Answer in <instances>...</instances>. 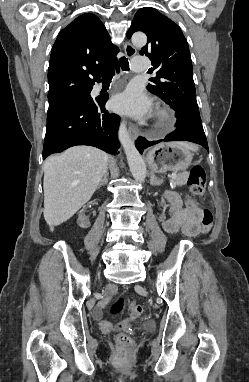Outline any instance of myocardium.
<instances>
[{
  "label": "myocardium",
  "instance_id": "f54148a6",
  "mask_svg": "<svg viewBox=\"0 0 249 382\" xmlns=\"http://www.w3.org/2000/svg\"><path fill=\"white\" fill-rule=\"evenodd\" d=\"M174 115L167 108H158L154 115V129L166 131L174 124Z\"/></svg>",
  "mask_w": 249,
  "mask_h": 382
}]
</instances>
